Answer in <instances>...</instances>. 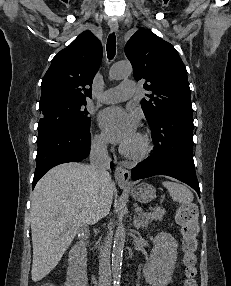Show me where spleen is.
Here are the masks:
<instances>
[{
	"mask_svg": "<svg viewBox=\"0 0 231 286\" xmlns=\"http://www.w3.org/2000/svg\"><path fill=\"white\" fill-rule=\"evenodd\" d=\"M162 184L174 201L181 204H190L193 201V193L186 186L174 181H163Z\"/></svg>",
	"mask_w": 231,
	"mask_h": 286,
	"instance_id": "spleen-1",
	"label": "spleen"
}]
</instances>
